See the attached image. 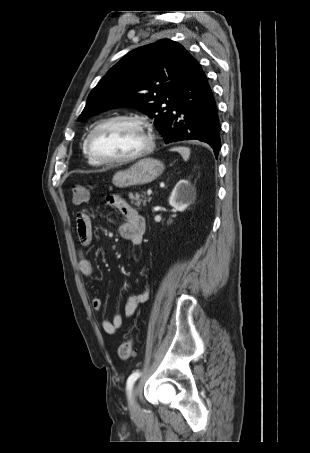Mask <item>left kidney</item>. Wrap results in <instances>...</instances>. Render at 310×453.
<instances>
[{
  "label": "left kidney",
  "mask_w": 310,
  "mask_h": 453,
  "mask_svg": "<svg viewBox=\"0 0 310 453\" xmlns=\"http://www.w3.org/2000/svg\"><path fill=\"white\" fill-rule=\"evenodd\" d=\"M193 198L194 193L188 181L180 180L169 197V204L177 211L182 212L189 206Z\"/></svg>",
  "instance_id": "1"
}]
</instances>
